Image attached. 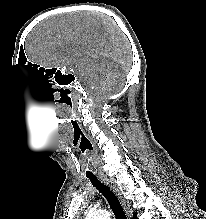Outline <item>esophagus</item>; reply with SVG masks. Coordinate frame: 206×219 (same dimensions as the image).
I'll return each instance as SVG.
<instances>
[{"instance_id":"34e87169","label":"esophagus","mask_w":206,"mask_h":219,"mask_svg":"<svg viewBox=\"0 0 206 219\" xmlns=\"http://www.w3.org/2000/svg\"><path fill=\"white\" fill-rule=\"evenodd\" d=\"M100 179L109 186V188L116 194V196L118 197V199L120 200L127 216L129 217V219L132 216V209H131V205L129 203V201L122 195L121 191L119 190V188L116 186V184L109 179L106 175L101 174L100 175Z\"/></svg>"}]
</instances>
